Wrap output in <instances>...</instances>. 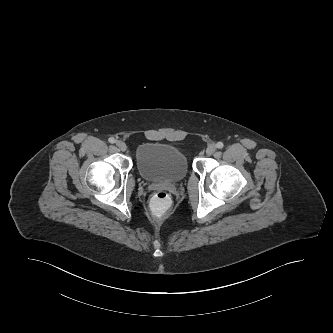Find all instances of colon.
<instances>
[{
    "label": "colon",
    "instance_id": "1",
    "mask_svg": "<svg viewBox=\"0 0 333 333\" xmlns=\"http://www.w3.org/2000/svg\"><path fill=\"white\" fill-rule=\"evenodd\" d=\"M150 209L154 216L164 217L168 213V208L171 205V197L165 191H157L150 200Z\"/></svg>",
    "mask_w": 333,
    "mask_h": 333
}]
</instances>
